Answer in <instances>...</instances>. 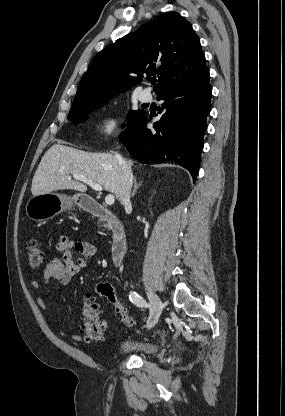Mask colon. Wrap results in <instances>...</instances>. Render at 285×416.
<instances>
[{"instance_id": "obj_1", "label": "colon", "mask_w": 285, "mask_h": 416, "mask_svg": "<svg viewBox=\"0 0 285 416\" xmlns=\"http://www.w3.org/2000/svg\"><path fill=\"white\" fill-rule=\"evenodd\" d=\"M26 255L29 265L33 268L41 266L46 259L44 250L34 240L27 242ZM96 293L105 298L114 307L126 325L133 326L135 324L134 318L129 314L128 308L124 303L118 299L112 285L104 282L99 283L96 286ZM82 315L83 323L80 330L84 341L99 342L103 340L107 324L102 318L101 308L94 302L91 296H86L84 299Z\"/></svg>"}]
</instances>
